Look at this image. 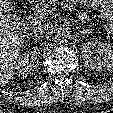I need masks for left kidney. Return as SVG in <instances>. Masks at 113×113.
<instances>
[{
    "mask_svg": "<svg viewBox=\"0 0 113 113\" xmlns=\"http://www.w3.org/2000/svg\"><path fill=\"white\" fill-rule=\"evenodd\" d=\"M82 58L88 68L96 71H107L113 69V48L110 44L102 42H87L81 46ZM97 52L100 56L92 58Z\"/></svg>",
    "mask_w": 113,
    "mask_h": 113,
    "instance_id": "left-kidney-1",
    "label": "left kidney"
}]
</instances>
